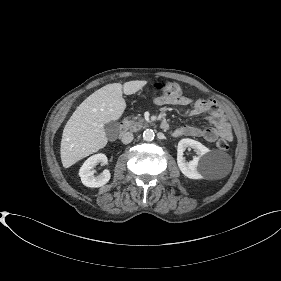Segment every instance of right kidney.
<instances>
[{
    "label": "right kidney",
    "mask_w": 281,
    "mask_h": 281,
    "mask_svg": "<svg viewBox=\"0 0 281 281\" xmlns=\"http://www.w3.org/2000/svg\"><path fill=\"white\" fill-rule=\"evenodd\" d=\"M105 165L107 164V157L103 153H98L89 157L81 166L79 170V176L82 183L86 187L97 188L105 185L110 180L109 170H104L100 175L94 176L93 168L97 164Z\"/></svg>",
    "instance_id": "1"
}]
</instances>
